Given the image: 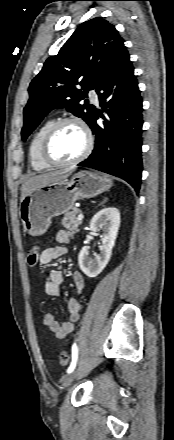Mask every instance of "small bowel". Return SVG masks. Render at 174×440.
<instances>
[{
    "label": "small bowel",
    "instance_id": "small-bowel-1",
    "mask_svg": "<svg viewBox=\"0 0 174 440\" xmlns=\"http://www.w3.org/2000/svg\"><path fill=\"white\" fill-rule=\"evenodd\" d=\"M72 235L66 230H61L56 235L58 245L48 247L44 249L39 261L42 265L49 264L62 256L67 252V244L71 241ZM72 280L74 284L75 294L68 300L67 308L69 312L68 321H57L50 313H45L42 316V324L46 326L52 333L58 338H64L74 330V326L80 320V303L79 295L81 294L85 281L83 275L79 271H74L72 274ZM64 277L60 270H52L47 277L42 281V290L46 296L56 297L60 294L61 285L63 284Z\"/></svg>",
    "mask_w": 174,
    "mask_h": 440
}]
</instances>
